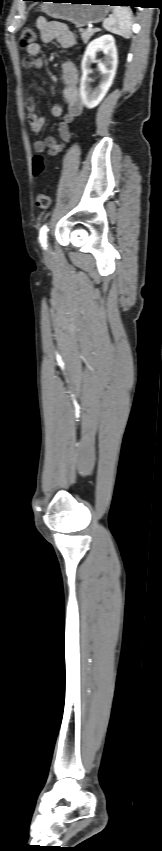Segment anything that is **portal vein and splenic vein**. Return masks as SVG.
<instances>
[{"label":"portal vein and splenic vein","instance_id":"portal-vein-and-splenic-vein-1","mask_svg":"<svg viewBox=\"0 0 162 851\" xmlns=\"http://www.w3.org/2000/svg\"><path fill=\"white\" fill-rule=\"evenodd\" d=\"M88 29H91V26H88Z\"/></svg>","mask_w":162,"mask_h":851}]
</instances>
